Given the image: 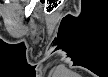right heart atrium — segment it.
I'll list each match as a JSON object with an SVG mask.
<instances>
[{"mask_svg":"<svg viewBox=\"0 0 108 77\" xmlns=\"http://www.w3.org/2000/svg\"><path fill=\"white\" fill-rule=\"evenodd\" d=\"M38 74H41L42 72H37Z\"/></svg>","mask_w":108,"mask_h":77,"instance_id":"1","label":"right heart atrium"}]
</instances>
